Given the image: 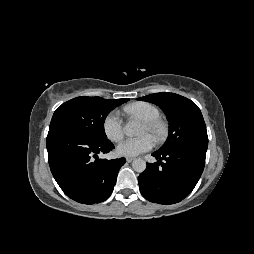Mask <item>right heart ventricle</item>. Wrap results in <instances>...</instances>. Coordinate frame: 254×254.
<instances>
[{
  "label": "right heart ventricle",
  "instance_id": "obj_1",
  "mask_svg": "<svg viewBox=\"0 0 254 254\" xmlns=\"http://www.w3.org/2000/svg\"><path fill=\"white\" fill-rule=\"evenodd\" d=\"M124 112L131 115L137 116L143 121L154 120L160 118L159 109L148 102H134L124 107Z\"/></svg>",
  "mask_w": 254,
  "mask_h": 254
}]
</instances>
